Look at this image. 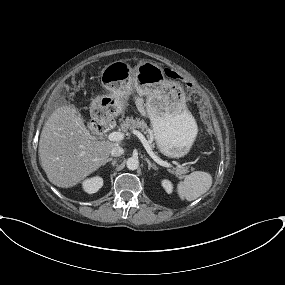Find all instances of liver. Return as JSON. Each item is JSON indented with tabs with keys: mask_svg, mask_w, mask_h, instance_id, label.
<instances>
[{
	"mask_svg": "<svg viewBox=\"0 0 285 285\" xmlns=\"http://www.w3.org/2000/svg\"><path fill=\"white\" fill-rule=\"evenodd\" d=\"M117 145L93 140L80 126L76 108L63 105L52 113L42 129L39 160L52 184L70 188L105 165L112 148Z\"/></svg>",
	"mask_w": 285,
	"mask_h": 285,
	"instance_id": "1",
	"label": "liver"
}]
</instances>
